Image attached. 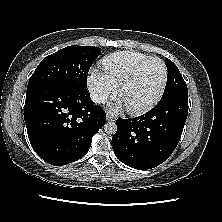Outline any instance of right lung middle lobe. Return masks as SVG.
<instances>
[{
    "label": "right lung middle lobe",
    "instance_id": "obj_1",
    "mask_svg": "<svg viewBox=\"0 0 222 222\" xmlns=\"http://www.w3.org/2000/svg\"><path fill=\"white\" fill-rule=\"evenodd\" d=\"M101 48L68 46L47 57L29 79L27 91L44 84H58L70 88H87V74Z\"/></svg>",
    "mask_w": 222,
    "mask_h": 222
}]
</instances>
